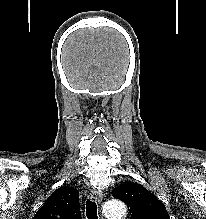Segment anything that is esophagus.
<instances>
[{
	"mask_svg": "<svg viewBox=\"0 0 206 219\" xmlns=\"http://www.w3.org/2000/svg\"><path fill=\"white\" fill-rule=\"evenodd\" d=\"M102 198H103V195H102V193L100 191L92 190L90 192V199L91 200H94V201H97L98 203H101Z\"/></svg>",
	"mask_w": 206,
	"mask_h": 219,
	"instance_id": "obj_1",
	"label": "esophagus"
}]
</instances>
